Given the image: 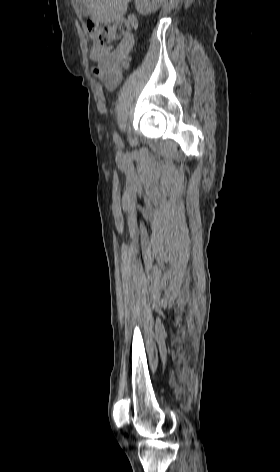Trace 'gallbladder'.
I'll return each instance as SVG.
<instances>
[{"label": "gallbladder", "mask_w": 280, "mask_h": 472, "mask_svg": "<svg viewBox=\"0 0 280 472\" xmlns=\"http://www.w3.org/2000/svg\"><path fill=\"white\" fill-rule=\"evenodd\" d=\"M77 2H78L79 10L82 13V15L87 16L86 5L83 2V0H77Z\"/></svg>", "instance_id": "1"}]
</instances>
